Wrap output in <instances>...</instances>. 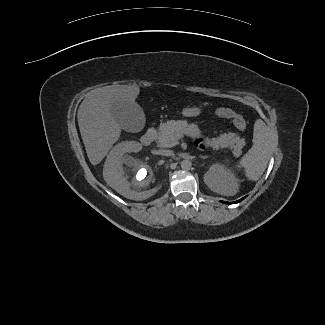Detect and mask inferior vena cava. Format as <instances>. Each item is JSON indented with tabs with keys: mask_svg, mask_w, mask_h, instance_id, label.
Segmentation results:
<instances>
[{
	"mask_svg": "<svg viewBox=\"0 0 325 325\" xmlns=\"http://www.w3.org/2000/svg\"><path fill=\"white\" fill-rule=\"evenodd\" d=\"M159 154L163 155V156H173L174 155L173 151L168 150V149L159 150Z\"/></svg>",
	"mask_w": 325,
	"mask_h": 325,
	"instance_id": "inferior-vena-cava-1",
	"label": "inferior vena cava"
}]
</instances>
